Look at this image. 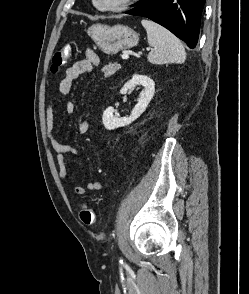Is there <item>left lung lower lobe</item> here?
<instances>
[{"label":"left lung lower lobe","mask_w":249,"mask_h":294,"mask_svg":"<svg viewBox=\"0 0 249 294\" xmlns=\"http://www.w3.org/2000/svg\"><path fill=\"white\" fill-rule=\"evenodd\" d=\"M206 0H140L127 14L147 17L194 48Z\"/></svg>","instance_id":"0a47b994"}]
</instances>
